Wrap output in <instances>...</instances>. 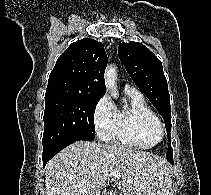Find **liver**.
I'll use <instances>...</instances> for the list:
<instances>
[{"label":"liver","mask_w":211,"mask_h":195,"mask_svg":"<svg viewBox=\"0 0 211 195\" xmlns=\"http://www.w3.org/2000/svg\"><path fill=\"white\" fill-rule=\"evenodd\" d=\"M118 172L124 195H170L172 179L166 161L120 145L78 141L46 165V195H101Z\"/></svg>","instance_id":"obj_1"}]
</instances>
